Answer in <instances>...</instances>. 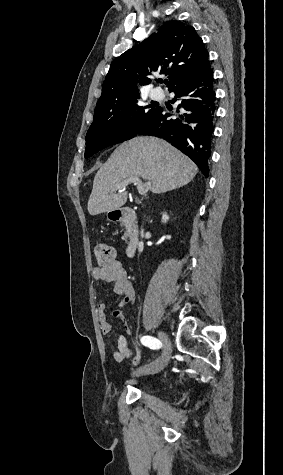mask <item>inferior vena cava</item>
<instances>
[{"instance_id":"inferior-vena-cava-1","label":"inferior vena cava","mask_w":283,"mask_h":475,"mask_svg":"<svg viewBox=\"0 0 283 475\" xmlns=\"http://www.w3.org/2000/svg\"><path fill=\"white\" fill-rule=\"evenodd\" d=\"M141 236H143V232H141Z\"/></svg>"}]
</instances>
